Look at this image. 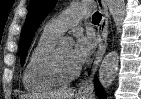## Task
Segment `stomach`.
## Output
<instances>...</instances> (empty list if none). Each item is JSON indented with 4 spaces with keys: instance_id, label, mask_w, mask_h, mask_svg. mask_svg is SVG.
Masks as SVG:
<instances>
[{
    "instance_id": "0dacf381",
    "label": "stomach",
    "mask_w": 141,
    "mask_h": 99,
    "mask_svg": "<svg viewBox=\"0 0 141 99\" xmlns=\"http://www.w3.org/2000/svg\"><path fill=\"white\" fill-rule=\"evenodd\" d=\"M76 99H88V98L85 97V96H84V97H78V96H77Z\"/></svg>"
}]
</instances>
